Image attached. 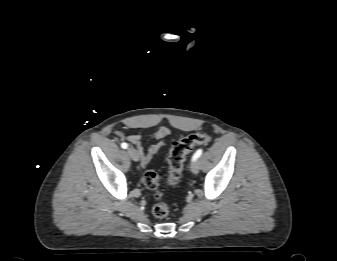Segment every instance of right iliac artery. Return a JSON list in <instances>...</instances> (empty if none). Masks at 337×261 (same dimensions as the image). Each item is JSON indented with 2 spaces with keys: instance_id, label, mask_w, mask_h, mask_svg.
Wrapping results in <instances>:
<instances>
[{
  "instance_id": "1",
  "label": "right iliac artery",
  "mask_w": 337,
  "mask_h": 261,
  "mask_svg": "<svg viewBox=\"0 0 337 261\" xmlns=\"http://www.w3.org/2000/svg\"><path fill=\"white\" fill-rule=\"evenodd\" d=\"M121 147H122L123 149H127L128 144L124 142V143L121 144Z\"/></svg>"
}]
</instances>
